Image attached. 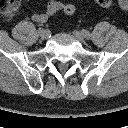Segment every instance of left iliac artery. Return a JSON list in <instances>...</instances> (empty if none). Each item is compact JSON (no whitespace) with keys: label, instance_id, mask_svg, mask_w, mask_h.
Listing matches in <instances>:
<instances>
[{"label":"left iliac artery","instance_id":"obj_1","mask_svg":"<svg viewBox=\"0 0 128 128\" xmlns=\"http://www.w3.org/2000/svg\"><path fill=\"white\" fill-rule=\"evenodd\" d=\"M82 34H83V36H84L86 39H90V37H91L90 32L87 31V30H82Z\"/></svg>","mask_w":128,"mask_h":128}]
</instances>
